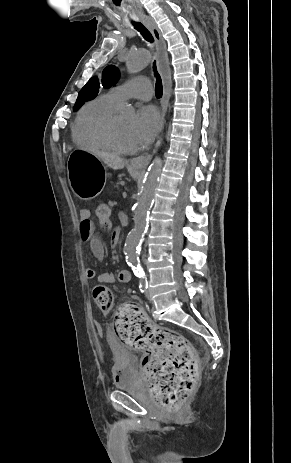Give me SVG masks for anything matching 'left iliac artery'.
Listing matches in <instances>:
<instances>
[{"mask_svg": "<svg viewBox=\"0 0 291 463\" xmlns=\"http://www.w3.org/2000/svg\"><path fill=\"white\" fill-rule=\"evenodd\" d=\"M148 288V282H147V279L146 277H141L140 278V281H139V289L141 291V293H144L146 291V289Z\"/></svg>", "mask_w": 291, "mask_h": 463, "instance_id": "44dca946", "label": "left iliac artery"}]
</instances>
